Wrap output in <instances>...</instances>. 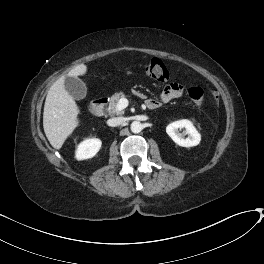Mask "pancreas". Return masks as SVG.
I'll return each mask as SVG.
<instances>
[{
  "label": "pancreas",
  "mask_w": 264,
  "mask_h": 264,
  "mask_svg": "<svg viewBox=\"0 0 264 264\" xmlns=\"http://www.w3.org/2000/svg\"><path fill=\"white\" fill-rule=\"evenodd\" d=\"M125 94L123 92H119V93H115L114 95L111 96L110 102H109V106H108V112L109 114L113 115V114H122V111H118L116 109L117 103L119 102V100L121 98H125Z\"/></svg>",
  "instance_id": "pancreas-1"
}]
</instances>
